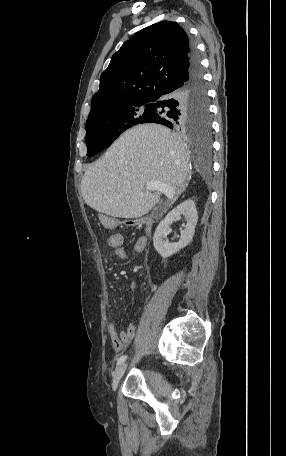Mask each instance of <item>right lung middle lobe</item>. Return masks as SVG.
<instances>
[{
    "instance_id": "obj_1",
    "label": "right lung middle lobe",
    "mask_w": 286,
    "mask_h": 456,
    "mask_svg": "<svg viewBox=\"0 0 286 456\" xmlns=\"http://www.w3.org/2000/svg\"><path fill=\"white\" fill-rule=\"evenodd\" d=\"M154 114L151 100H129L102 108L90 116L86 122L87 156H92L109 147L128 128L139 123H147ZM210 131V121L204 127H194V131Z\"/></svg>"
}]
</instances>
